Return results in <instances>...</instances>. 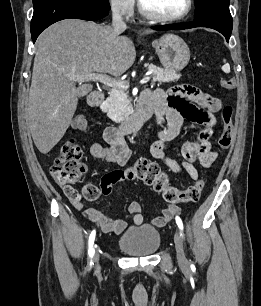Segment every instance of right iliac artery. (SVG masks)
Segmentation results:
<instances>
[{"mask_svg": "<svg viewBox=\"0 0 261 306\" xmlns=\"http://www.w3.org/2000/svg\"><path fill=\"white\" fill-rule=\"evenodd\" d=\"M95 236H96V230L94 229L90 236H89V240H88V259L90 262V265L93 264V256L95 254V249H94V240H95Z\"/></svg>", "mask_w": 261, "mask_h": 306, "instance_id": "obj_1", "label": "right iliac artery"}]
</instances>
